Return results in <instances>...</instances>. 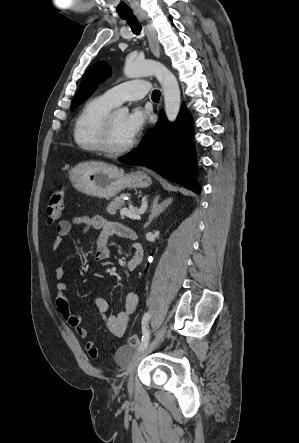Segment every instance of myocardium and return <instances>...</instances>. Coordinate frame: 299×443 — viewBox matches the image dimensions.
<instances>
[{"label":"myocardium","mask_w":299,"mask_h":443,"mask_svg":"<svg viewBox=\"0 0 299 443\" xmlns=\"http://www.w3.org/2000/svg\"><path fill=\"white\" fill-rule=\"evenodd\" d=\"M113 116L114 112H110L102 125L101 134H100V147L102 152L106 153L110 156H119L128 151H130L136 144V140L133 139L127 145L116 148L112 144V133H113Z\"/></svg>","instance_id":"obj_1"}]
</instances>
